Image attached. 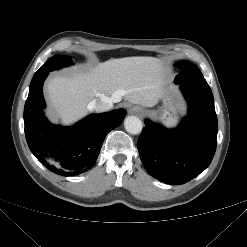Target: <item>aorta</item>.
Here are the masks:
<instances>
[{"label":"aorta","mask_w":247,"mask_h":247,"mask_svg":"<svg viewBox=\"0 0 247 247\" xmlns=\"http://www.w3.org/2000/svg\"><path fill=\"white\" fill-rule=\"evenodd\" d=\"M125 130L133 135L141 133L143 124L141 120L136 116H128L124 121Z\"/></svg>","instance_id":"1"}]
</instances>
